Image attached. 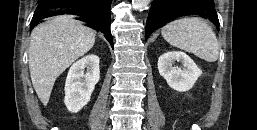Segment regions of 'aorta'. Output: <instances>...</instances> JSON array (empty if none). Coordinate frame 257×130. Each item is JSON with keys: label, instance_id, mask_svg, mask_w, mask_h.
<instances>
[{"label": "aorta", "instance_id": "762f6f07", "mask_svg": "<svg viewBox=\"0 0 257 130\" xmlns=\"http://www.w3.org/2000/svg\"><path fill=\"white\" fill-rule=\"evenodd\" d=\"M148 4V0H132L133 8L140 9Z\"/></svg>", "mask_w": 257, "mask_h": 130}]
</instances>
